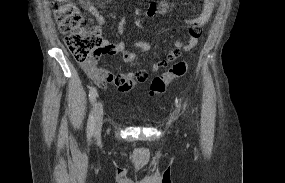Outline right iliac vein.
Returning <instances> with one entry per match:
<instances>
[{
  "label": "right iliac vein",
  "mask_w": 285,
  "mask_h": 183,
  "mask_svg": "<svg viewBox=\"0 0 285 183\" xmlns=\"http://www.w3.org/2000/svg\"><path fill=\"white\" fill-rule=\"evenodd\" d=\"M102 122H103V106L100 102H96L95 118H94V130L96 136L100 134Z\"/></svg>",
  "instance_id": "right-iliac-vein-1"
}]
</instances>
